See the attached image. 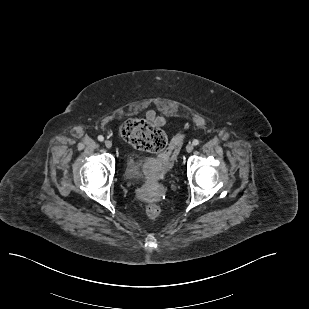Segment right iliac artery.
<instances>
[{
  "mask_svg": "<svg viewBox=\"0 0 309 309\" xmlns=\"http://www.w3.org/2000/svg\"><path fill=\"white\" fill-rule=\"evenodd\" d=\"M98 140L102 142V141H104V137L102 135H99Z\"/></svg>",
  "mask_w": 309,
  "mask_h": 309,
  "instance_id": "1",
  "label": "right iliac artery"
}]
</instances>
